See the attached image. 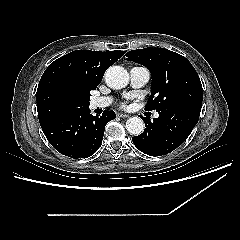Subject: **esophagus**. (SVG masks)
<instances>
[{
    "label": "esophagus",
    "instance_id": "esophagus-1",
    "mask_svg": "<svg viewBox=\"0 0 240 240\" xmlns=\"http://www.w3.org/2000/svg\"><path fill=\"white\" fill-rule=\"evenodd\" d=\"M117 116L120 118H128L129 117L128 114H124V113H119Z\"/></svg>",
    "mask_w": 240,
    "mask_h": 240
}]
</instances>
